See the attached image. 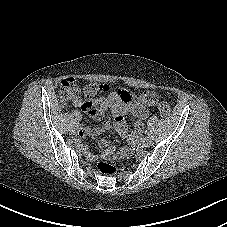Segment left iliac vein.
I'll return each instance as SVG.
<instances>
[{
	"label": "left iliac vein",
	"instance_id": "4c4485c4",
	"mask_svg": "<svg viewBox=\"0 0 227 227\" xmlns=\"http://www.w3.org/2000/svg\"><path fill=\"white\" fill-rule=\"evenodd\" d=\"M152 144H153V139H152L151 137L147 136V137L143 138V140H142V145H143L144 147H149V146H151Z\"/></svg>",
	"mask_w": 227,
	"mask_h": 227
}]
</instances>
